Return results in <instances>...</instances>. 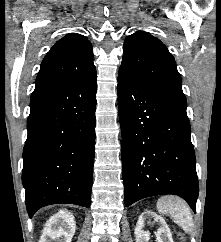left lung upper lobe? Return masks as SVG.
Listing matches in <instances>:
<instances>
[{
	"instance_id": "1",
	"label": "left lung upper lobe",
	"mask_w": 221,
	"mask_h": 242,
	"mask_svg": "<svg viewBox=\"0 0 221 242\" xmlns=\"http://www.w3.org/2000/svg\"><path fill=\"white\" fill-rule=\"evenodd\" d=\"M120 68L143 85L186 101L174 57L150 33L138 31L125 39Z\"/></svg>"
}]
</instances>
